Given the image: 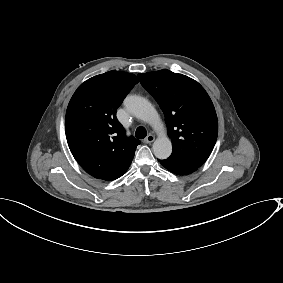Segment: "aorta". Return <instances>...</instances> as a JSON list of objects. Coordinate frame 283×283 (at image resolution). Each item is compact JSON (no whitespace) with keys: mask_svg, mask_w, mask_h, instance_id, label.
Here are the masks:
<instances>
[{"mask_svg":"<svg viewBox=\"0 0 283 283\" xmlns=\"http://www.w3.org/2000/svg\"><path fill=\"white\" fill-rule=\"evenodd\" d=\"M125 108L137 118L149 123L159 133L153 143V152L158 159H166L172 153V144L164 132L163 123L154 106L145 98L129 95L124 100Z\"/></svg>","mask_w":283,"mask_h":283,"instance_id":"762f6f07","label":"aorta"}]
</instances>
